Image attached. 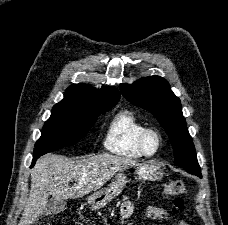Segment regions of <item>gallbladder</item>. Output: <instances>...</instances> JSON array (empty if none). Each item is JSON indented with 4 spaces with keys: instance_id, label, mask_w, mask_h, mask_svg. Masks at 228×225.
<instances>
[{
    "instance_id": "gallbladder-1",
    "label": "gallbladder",
    "mask_w": 228,
    "mask_h": 225,
    "mask_svg": "<svg viewBox=\"0 0 228 225\" xmlns=\"http://www.w3.org/2000/svg\"><path fill=\"white\" fill-rule=\"evenodd\" d=\"M66 207L67 203L65 199H53L52 197L49 203H47L44 213L45 215H57V213L65 211Z\"/></svg>"
}]
</instances>
